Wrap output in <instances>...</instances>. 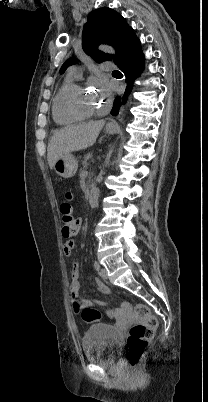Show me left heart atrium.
I'll list each match as a JSON object with an SVG mask.
<instances>
[{
  "label": "left heart atrium",
  "instance_id": "obj_1",
  "mask_svg": "<svg viewBox=\"0 0 208 402\" xmlns=\"http://www.w3.org/2000/svg\"><path fill=\"white\" fill-rule=\"evenodd\" d=\"M100 88L105 95H109L112 91L110 84H108L107 82H102L100 84Z\"/></svg>",
  "mask_w": 208,
  "mask_h": 402
}]
</instances>
